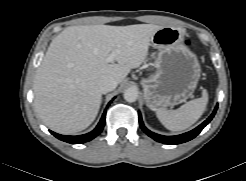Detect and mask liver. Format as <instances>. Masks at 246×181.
<instances>
[{"label":"liver","mask_w":246,"mask_h":181,"mask_svg":"<svg viewBox=\"0 0 246 181\" xmlns=\"http://www.w3.org/2000/svg\"><path fill=\"white\" fill-rule=\"evenodd\" d=\"M162 26L84 25L64 29L50 43L34 80V105L47 127L61 134L86 129L96 118L98 81L110 75L121 83L147 58ZM112 53L114 61L108 62Z\"/></svg>","instance_id":"6515ba94"}]
</instances>
